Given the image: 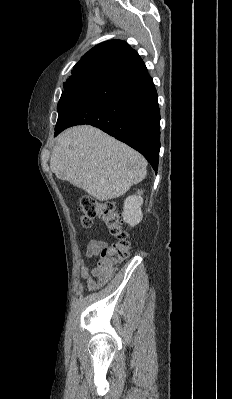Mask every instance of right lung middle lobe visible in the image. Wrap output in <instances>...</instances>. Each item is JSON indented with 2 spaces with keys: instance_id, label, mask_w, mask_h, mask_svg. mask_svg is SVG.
Returning <instances> with one entry per match:
<instances>
[{
  "instance_id": "right-lung-middle-lobe-1",
  "label": "right lung middle lobe",
  "mask_w": 232,
  "mask_h": 399,
  "mask_svg": "<svg viewBox=\"0 0 232 399\" xmlns=\"http://www.w3.org/2000/svg\"><path fill=\"white\" fill-rule=\"evenodd\" d=\"M102 81L103 80L100 79L84 78V79H75L68 82H64L63 83L64 92L61 95V98L57 106L58 112L68 101L78 98L84 92L96 86L98 83Z\"/></svg>"
}]
</instances>
